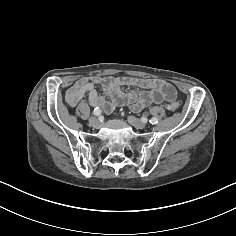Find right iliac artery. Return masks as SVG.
I'll return each mask as SVG.
<instances>
[{
    "label": "right iliac artery",
    "mask_w": 236,
    "mask_h": 236,
    "mask_svg": "<svg viewBox=\"0 0 236 236\" xmlns=\"http://www.w3.org/2000/svg\"><path fill=\"white\" fill-rule=\"evenodd\" d=\"M93 114H94L95 116H99V115L101 114V110L98 109V108H95L94 111H93Z\"/></svg>",
    "instance_id": "obj_1"
}]
</instances>
